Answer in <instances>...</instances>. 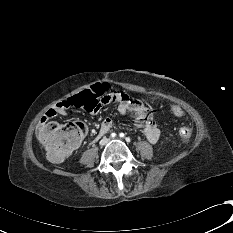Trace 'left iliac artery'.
Masks as SVG:
<instances>
[{"mask_svg":"<svg viewBox=\"0 0 233 233\" xmlns=\"http://www.w3.org/2000/svg\"><path fill=\"white\" fill-rule=\"evenodd\" d=\"M119 136L123 138L125 136V134L124 133H120ZM126 141L130 142V138H126Z\"/></svg>","mask_w":233,"mask_h":233,"instance_id":"obj_1","label":"left iliac artery"}]
</instances>
